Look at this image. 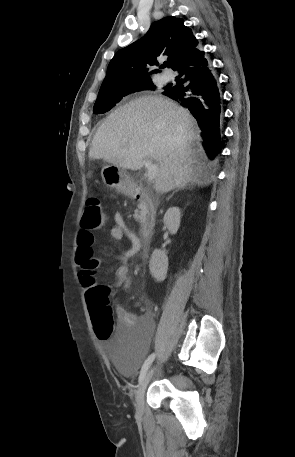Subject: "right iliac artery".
Returning <instances> with one entry per match:
<instances>
[{"instance_id": "1", "label": "right iliac artery", "mask_w": 295, "mask_h": 457, "mask_svg": "<svg viewBox=\"0 0 295 457\" xmlns=\"http://www.w3.org/2000/svg\"><path fill=\"white\" fill-rule=\"evenodd\" d=\"M154 358H155V354L153 353V354L149 355L148 358L145 360V362H144V364H143V366L141 368V371H140V376H139V382L140 383L143 381V379H144V377H145V375H146L151 363L153 362Z\"/></svg>"}]
</instances>
